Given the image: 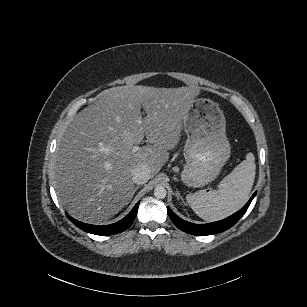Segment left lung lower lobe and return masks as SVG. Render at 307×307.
<instances>
[{"label": "left lung lower lobe", "instance_id": "left-lung-lower-lobe-1", "mask_svg": "<svg viewBox=\"0 0 307 307\" xmlns=\"http://www.w3.org/2000/svg\"><path fill=\"white\" fill-rule=\"evenodd\" d=\"M256 195V192L252 195L250 200L247 202V204L238 212L235 214L229 216L228 218H225L218 222H213L209 224H193L189 223L187 221H184L183 219L179 218L176 214L173 213V211L168 208V214L171 218L172 222L182 231L187 232L189 234L193 235H210L215 234L218 232H223L233 226L246 212L247 208L249 207L252 199Z\"/></svg>", "mask_w": 307, "mask_h": 307}]
</instances>
